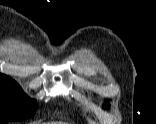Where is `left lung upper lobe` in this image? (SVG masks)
I'll list each match as a JSON object with an SVG mask.
<instances>
[{
  "label": "left lung upper lobe",
  "mask_w": 156,
  "mask_h": 124,
  "mask_svg": "<svg viewBox=\"0 0 156 124\" xmlns=\"http://www.w3.org/2000/svg\"><path fill=\"white\" fill-rule=\"evenodd\" d=\"M103 108H109V104L106 102L104 105H103Z\"/></svg>",
  "instance_id": "1"
}]
</instances>
